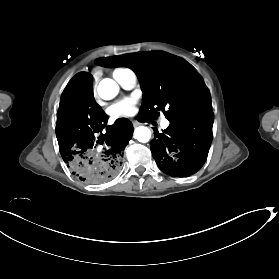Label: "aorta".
I'll return each mask as SVG.
<instances>
[{
  "mask_svg": "<svg viewBox=\"0 0 279 279\" xmlns=\"http://www.w3.org/2000/svg\"><path fill=\"white\" fill-rule=\"evenodd\" d=\"M98 94L104 100L113 99L119 92L118 84L109 78L100 81L98 85ZM134 137L142 143H146L151 138V131L148 127L139 126L134 131Z\"/></svg>",
  "mask_w": 279,
  "mask_h": 279,
  "instance_id": "obj_1",
  "label": "aorta"
}]
</instances>
